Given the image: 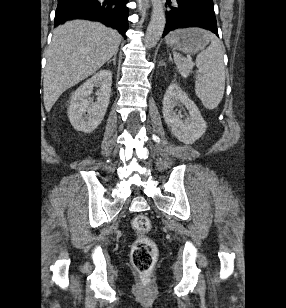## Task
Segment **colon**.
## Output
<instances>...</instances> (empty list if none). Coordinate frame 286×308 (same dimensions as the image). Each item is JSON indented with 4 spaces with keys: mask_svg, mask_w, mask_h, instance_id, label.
Wrapping results in <instances>:
<instances>
[{
    "mask_svg": "<svg viewBox=\"0 0 286 308\" xmlns=\"http://www.w3.org/2000/svg\"><path fill=\"white\" fill-rule=\"evenodd\" d=\"M132 226L139 236L131 247V261L139 273L141 283L148 284L158 257L157 245L147 237L151 221L145 215H138L133 219Z\"/></svg>",
    "mask_w": 286,
    "mask_h": 308,
    "instance_id": "1",
    "label": "colon"
}]
</instances>
